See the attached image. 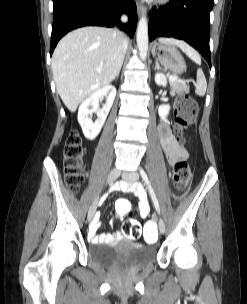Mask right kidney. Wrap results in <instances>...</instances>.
<instances>
[{"label": "right kidney", "mask_w": 247, "mask_h": 304, "mask_svg": "<svg viewBox=\"0 0 247 304\" xmlns=\"http://www.w3.org/2000/svg\"><path fill=\"white\" fill-rule=\"evenodd\" d=\"M116 96V88L113 85H105L92 93L79 107L78 122L82 128L84 136L89 139H95L101 131V128L107 118V115L113 105ZM106 97V103L102 109H98L99 101ZM97 114L95 122L89 117L92 113Z\"/></svg>", "instance_id": "ca27d5eb"}]
</instances>
